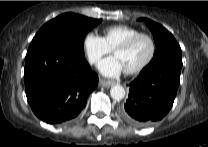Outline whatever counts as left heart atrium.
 Wrapping results in <instances>:
<instances>
[{
  "mask_svg": "<svg viewBox=\"0 0 208 147\" xmlns=\"http://www.w3.org/2000/svg\"><path fill=\"white\" fill-rule=\"evenodd\" d=\"M98 69L104 76L107 77H117L125 71L120 59L115 55L101 61Z\"/></svg>",
  "mask_w": 208,
  "mask_h": 147,
  "instance_id": "1",
  "label": "left heart atrium"
}]
</instances>
